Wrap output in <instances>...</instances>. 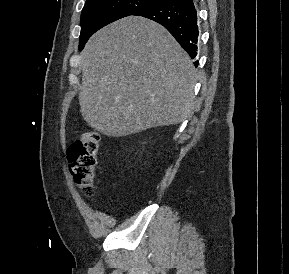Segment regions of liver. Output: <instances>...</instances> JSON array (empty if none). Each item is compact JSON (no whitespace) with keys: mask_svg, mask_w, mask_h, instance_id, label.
<instances>
[{"mask_svg":"<svg viewBox=\"0 0 289 274\" xmlns=\"http://www.w3.org/2000/svg\"><path fill=\"white\" fill-rule=\"evenodd\" d=\"M80 58L81 114L106 136L176 125L192 110L193 62L158 23L138 16L115 21L89 39Z\"/></svg>","mask_w":289,"mask_h":274,"instance_id":"obj_1","label":"liver"}]
</instances>
